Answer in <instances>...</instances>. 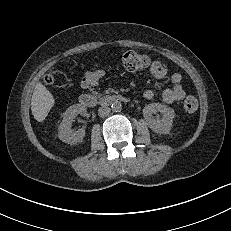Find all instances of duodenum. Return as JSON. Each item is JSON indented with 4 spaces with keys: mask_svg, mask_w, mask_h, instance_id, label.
<instances>
[{
    "mask_svg": "<svg viewBox=\"0 0 231 231\" xmlns=\"http://www.w3.org/2000/svg\"><path fill=\"white\" fill-rule=\"evenodd\" d=\"M129 99L123 95L119 94H109L101 98H97L90 94H82L79 97L80 105L84 107H95L97 105H109L114 102H128Z\"/></svg>",
    "mask_w": 231,
    "mask_h": 231,
    "instance_id": "duodenum-1",
    "label": "duodenum"
}]
</instances>
